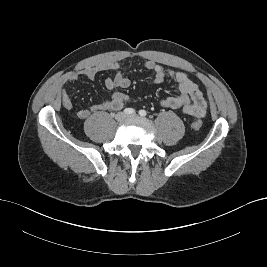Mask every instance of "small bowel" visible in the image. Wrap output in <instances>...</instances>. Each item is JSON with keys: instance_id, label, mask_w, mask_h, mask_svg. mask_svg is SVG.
<instances>
[{"instance_id": "c3829d8e", "label": "small bowel", "mask_w": 267, "mask_h": 267, "mask_svg": "<svg viewBox=\"0 0 267 267\" xmlns=\"http://www.w3.org/2000/svg\"><path fill=\"white\" fill-rule=\"evenodd\" d=\"M143 67L152 74L154 84H160L168 77L178 85L180 94L161 99L160 105L162 107L179 110L184 114L195 117L201 118L205 116L207 102L198 86L184 72L164 69L161 65L152 61L145 62ZM126 70L127 68L118 62H106L98 66L84 68L79 74L89 80H94L99 72L110 71L113 75L105 79V87L109 90H114L116 88H127L130 85V80L125 75ZM79 74L69 75L66 81H77ZM128 102L127 95L120 91H115L106 101L91 105L89 108L80 109L77 112V116L85 120L92 113L119 110ZM61 105L66 110L72 108V101L66 89L62 90L61 93Z\"/></svg>"}]
</instances>
